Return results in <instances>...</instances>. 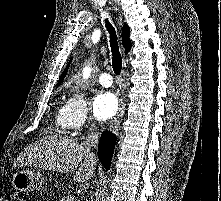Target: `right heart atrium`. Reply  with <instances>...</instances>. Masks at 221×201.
I'll list each match as a JSON object with an SVG mask.
<instances>
[{
    "mask_svg": "<svg viewBox=\"0 0 221 201\" xmlns=\"http://www.w3.org/2000/svg\"><path fill=\"white\" fill-rule=\"evenodd\" d=\"M67 112L69 128L71 130H82L92 122L87 99L77 90L72 92L67 101Z\"/></svg>",
    "mask_w": 221,
    "mask_h": 201,
    "instance_id": "1",
    "label": "right heart atrium"
}]
</instances>
